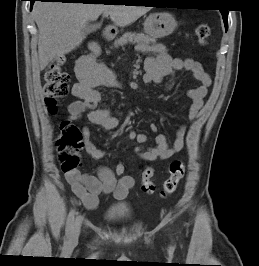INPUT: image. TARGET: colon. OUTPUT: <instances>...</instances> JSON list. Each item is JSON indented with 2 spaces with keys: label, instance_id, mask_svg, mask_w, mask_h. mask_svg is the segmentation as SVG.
Segmentation results:
<instances>
[{
  "label": "colon",
  "instance_id": "colon-1",
  "mask_svg": "<svg viewBox=\"0 0 259 266\" xmlns=\"http://www.w3.org/2000/svg\"><path fill=\"white\" fill-rule=\"evenodd\" d=\"M198 42L205 45L211 34L208 24L202 23L195 30ZM64 58L50 67L44 76V99L50 113L57 111L63 97L69 91L70 76L64 70ZM84 146L83 136L80 130L69 121H63L60 127V136L57 141L58 159L61 168L65 174L76 172L80 166V151ZM185 163L180 160L173 161L169 166V175L163 183L160 192L162 197H167L178 187L179 182L185 174ZM125 172V166L119 164L116 166V173L122 175ZM154 169L145 167L142 171L141 189L145 193H153L155 185L153 183Z\"/></svg>",
  "mask_w": 259,
  "mask_h": 266
}]
</instances>
